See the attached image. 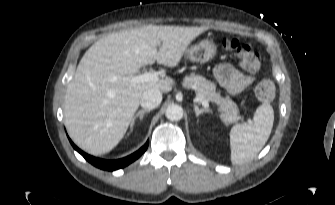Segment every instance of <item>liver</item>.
<instances>
[{"label":"liver","instance_id":"liver-1","mask_svg":"<svg viewBox=\"0 0 335 205\" xmlns=\"http://www.w3.org/2000/svg\"><path fill=\"white\" fill-rule=\"evenodd\" d=\"M205 30L147 25L96 41L81 58L65 94V123L74 143L92 155L111 151L131 124L142 93L172 90L166 79L133 83L131 78L155 61L178 66L190 43Z\"/></svg>","mask_w":335,"mask_h":205}]
</instances>
